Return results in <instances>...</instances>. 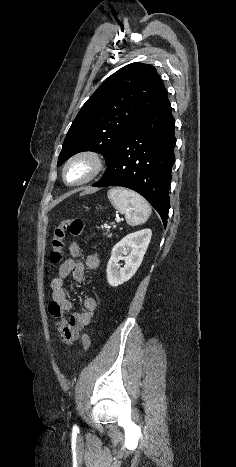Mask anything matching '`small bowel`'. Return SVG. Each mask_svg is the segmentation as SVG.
<instances>
[{
	"mask_svg": "<svg viewBox=\"0 0 236 467\" xmlns=\"http://www.w3.org/2000/svg\"><path fill=\"white\" fill-rule=\"evenodd\" d=\"M70 251L73 257L67 259L60 266L57 276L51 281V301L48 311L55 320V329L61 338L66 343L72 344L79 338L80 332L92 323L96 310V301L91 297H87L83 300L81 309L74 311L73 303L66 296L64 284L69 276L75 282H82L85 277V269H98L100 259L97 255L90 254L83 263L75 259L79 252L75 244L71 245ZM67 314H70V316L67 317Z\"/></svg>",
	"mask_w": 236,
	"mask_h": 467,
	"instance_id": "small-bowel-1",
	"label": "small bowel"
}]
</instances>
